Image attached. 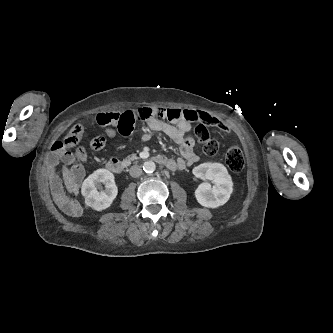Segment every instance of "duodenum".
Wrapping results in <instances>:
<instances>
[{
  "label": "duodenum",
  "mask_w": 333,
  "mask_h": 333,
  "mask_svg": "<svg viewBox=\"0 0 333 333\" xmlns=\"http://www.w3.org/2000/svg\"><path fill=\"white\" fill-rule=\"evenodd\" d=\"M155 160L162 164L167 162V158L161 155L156 156ZM106 169L114 174H120L124 170V165L117 158H111L106 162Z\"/></svg>",
  "instance_id": "obj_1"
}]
</instances>
